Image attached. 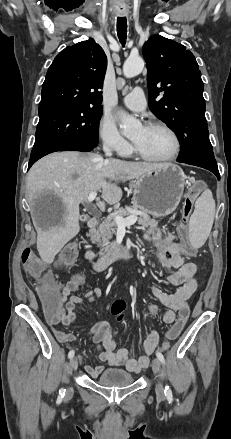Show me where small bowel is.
Returning <instances> with one entry per match:
<instances>
[{"mask_svg":"<svg viewBox=\"0 0 231 439\" xmlns=\"http://www.w3.org/2000/svg\"><path fill=\"white\" fill-rule=\"evenodd\" d=\"M145 238L155 242L157 247L156 255L160 264L165 268L175 269V271L167 276V281L176 287L174 292L166 293L158 287H153L154 296L166 307L163 313V320L166 323H172L176 320L178 306H187L189 308V302L197 291V267L194 263H186L183 259L179 258L178 253L184 250V248L183 245L174 241L173 236L162 235L158 229L151 228L147 231ZM87 277L88 274H77L61 286V301L55 309L59 315L58 319L48 320L52 332L61 343L74 341L76 336L60 331L57 326L59 324L64 326L76 324L77 319L74 312L76 305L91 303L101 297L102 292L99 288H92L83 295L73 294ZM146 309L151 315H156L159 312V307L156 304L148 303ZM89 333L93 336V342L98 350L97 357L101 362L112 367L122 366L131 372H139L148 367L149 355L159 343V333L152 329L144 341V353L135 355L131 354L126 348L116 349L114 331L107 321L96 323L89 330ZM161 348L166 350L168 342H164ZM103 369V365H87L85 367L86 372L92 377H97Z\"/></svg>","mask_w":231,"mask_h":439,"instance_id":"c3829d8e","label":"small bowel"}]
</instances>
